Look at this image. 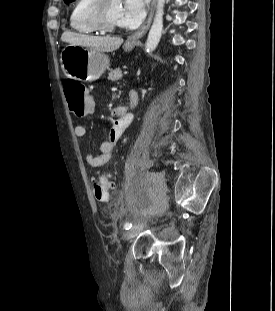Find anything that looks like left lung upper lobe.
<instances>
[{
    "instance_id": "1",
    "label": "left lung upper lobe",
    "mask_w": 275,
    "mask_h": 311,
    "mask_svg": "<svg viewBox=\"0 0 275 311\" xmlns=\"http://www.w3.org/2000/svg\"><path fill=\"white\" fill-rule=\"evenodd\" d=\"M65 3H70V2H73L74 0H64Z\"/></svg>"
}]
</instances>
